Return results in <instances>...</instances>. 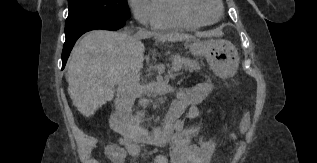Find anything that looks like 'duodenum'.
I'll return each instance as SVG.
<instances>
[{
	"mask_svg": "<svg viewBox=\"0 0 317 163\" xmlns=\"http://www.w3.org/2000/svg\"><path fill=\"white\" fill-rule=\"evenodd\" d=\"M176 119L177 115L170 112L160 128L148 131L131 123L122 114L116 112L110 117V126L114 131L124 137L127 146L137 143L159 146L166 143L171 138ZM109 150L113 156H118L121 155L123 147L112 144L109 146Z\"/></svg>",
	"mask_w": 317,
	"mask_h": 163,
	"instance_id": "obj_1",
	"label": "duodenum"
}]
</instances>
